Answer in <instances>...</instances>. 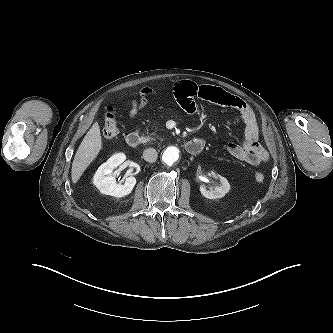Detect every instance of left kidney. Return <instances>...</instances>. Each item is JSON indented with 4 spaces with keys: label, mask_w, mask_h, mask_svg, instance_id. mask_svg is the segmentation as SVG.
Listing matches in <instances>:
<instances>
[{
    "label": "left kidney",
    "mask_w": 333,
    "mask_h": 333,
    "mask_svg": "<svg viewBox=\"0 0 333 333\" xmlns=\"http://www.w3.org/2000/svg\"><path fill=\"white\" fill-rule=\"evenodd\" d=\"M211 174L214 177H219L220 180V186L211 188L210 190H207L204 185L200 186V192L201 194L208 198V199H217V198H222L225 196L226 193L229 192L230 190V184L228 180L225 177H222L220 175H216L215 172H211Z\"/></svg>",
    "instance_id": "1"
}]
</instances>
